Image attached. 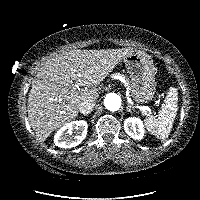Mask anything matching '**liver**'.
Here are the masks:
<instances>
[{
	"label": "liver",
	"mask_w": 200,
	"mask_h": 200,
	"mask_svg": "<svg viewBox=\"0 0 200 200\" xmlns=\"http://www.w3.org/2000/svg\"><path fill=\"white\" fill-rule=\"evenodd\" d=\"M133 50H70L48 59L32 81L28 95V119L36 136L44 141L53 131L78 116L84 100L94 102L99 84ZM84 87L79 90L78 87Z\"/></svg>",
	"instance_id": "obj_1"
}]
</instances>
